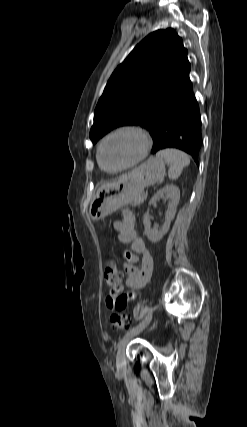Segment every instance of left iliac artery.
<instances>
[{
    "label": "left iliac artery",
    "instance_id": "obj_1",
    "mask_svg": "<svg viewBox=\"0 0 247 427\" xmlns=\"http://www.w3.org/2000/svg\"><path fill=\"white\" fill-rule=\"evenodd\" d=\"M152 316V309L149 310L148 315L135 327L131 328L130 330L127 331L126 336L130 335L131 333H133L135 330L141 328Z\"/></svg>",
    "mask_w": 247,
    "mask_h": 427
}]
</instances>
